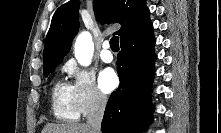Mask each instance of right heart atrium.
Here are the masks:
<instances>
[{
    "label": "right heart atrium",
    "instance_id": "obj_1",
    "mask_svg": "<svg viewBox=\"0 0 221 133\" xmlns=\"http://www.w3.org/2000/svg\"><path fill=\"white\" fill-rule=\"evenodd\" d=\"M64 71L73 80L72 90L80 115H88L105 108L107 98L98 88L92 72L79 68L73 62L65 64Z\"/></svg>",
    "mask_w": 221,
    "mask_h": 133
}]
</instances>
